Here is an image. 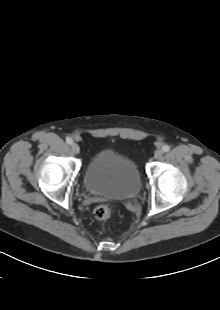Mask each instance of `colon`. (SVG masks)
Segmentation results:
<instances>
[{"label":"colon","mask_w":220,"mask_h":310,"mask_svg":"<svg viewBox=\"0 0 220 310\" xmlns=\"http://www.w3.org/2000/svg\"><path fill=\"white\" fill-rule=\"evenodd\" d=\"M114 208L109 204L99 205L94 210V215L99 220H106L112 217Z\"/></svg>","instance_id":"1"}]
</instances>
